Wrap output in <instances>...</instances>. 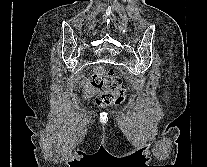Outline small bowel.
Here are the masks:
<instances>
[{"label":"small bowel","mask_w":207,"mask_h":167,"mask_svg":"<svg viewBox=\"0 0 207 167\" xmlns=\"http://www.w3.org/2000/svg\"><path fill=\"white\" fill-rule=\"evenodd\" d=\"M80 88L84 91V100L87 101L94 96L96 90L88 81H83L80 85Z\"/></svg>","instance_id":"obj_1"}]
</instances>
